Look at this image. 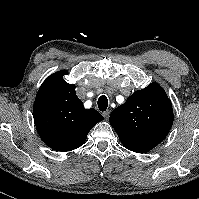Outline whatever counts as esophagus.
Listing matches in <instances>:
<instances>
[{
    "mask_svg": "<svg viewBox=\"0 0 199 199\" xmlns=\"http://www.w3.org/2000/svg\"><path fill=\"white\" fill-rule=\"evenodd\" d=\"M109 114H110L109 110H106L105 112H103V116L105 117V119H108Z\"/></svg>",
    "mask_w": 199,
    "mask_h": 199,
    "instance_id": "34e87169",
    "label": "esophagus"
}]
</instances>
